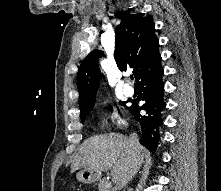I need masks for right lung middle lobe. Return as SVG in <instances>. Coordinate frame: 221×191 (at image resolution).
I'll use <instances>...</instances> for the list:
<instances>
[{"mask_svg":"<svg viewBox=\"0 0 221 191\" xmlns=\"http://www.w3.org/2000/svg\"><path fill=\"white\" fill-rule=\"evenodd\" d=\"M125 103H126V102H120V105L124 106ZM91 110H92V109H91ZM91 110L80 114V118H81L82 123H84V121H85V119H86V116L91 112Z\"/></svg>","mask_w":221,"mask_h":191,"instance_id":"1","label":"right lung middle lobe"}]
</instances>
